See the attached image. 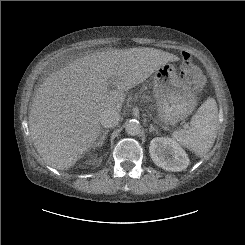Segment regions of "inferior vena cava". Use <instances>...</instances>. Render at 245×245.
I'll return each instance as SVG.
<instances>
[{
	"label": "inferior vena cava",
	"mask_w": 245,
	"mask_h": 245,
	"mask_svg": "<svg viewBox=\"0 0 245 245\" xmlns=\"http://www.w3.org/2000/svg\"><path fill=\"white\" fill-rule=\"evenodd\" d=\"M120 114L115 110H105L100 115V123L105 128H113L118 125Z\"/></svg>",
	"instance_id": "inferior-vena-cava-1"
}]
</instances>
